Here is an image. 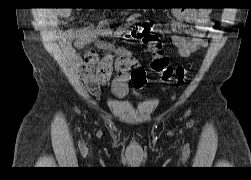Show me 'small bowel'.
<instances>
[{
  "label": "small bowel",
  "mask_w": 251,
  "mask_h": 180,
  "mask_svg": "<svg viewBox=\"0 0 251 180\" xmlns=\"http://www.w3.org/2000/svg\"><path fill=\"white\" fill-rule=\"evenodd\" d=\"M70 13L69 8L50 10L47 12L48 22L55 27L59 19L68 17ZM173 14L175 20L171 23L172 43L179 55L187 58L206 45L203 32L208 30L210 11L205 8H176ZM138 17L139 14L133 13L127 18V22H134ZM123 32L122 27L112 29L105 22H101L96 28L84 27L60 32L59 39L64 51L79 63V73L91 93L98 94L100 87L106 85L112 77L111 89L118 98L127 94L130 83L136 88L145 85L146 76L142 66L132 58L129 50L117 47L111 41L113 38L120 37ZM181 33H186L188 36H182ZM91 44L107 54L100 58L95 51H89L81 60L77 49Z\"/></svg>",
  "instance_id": "obj_1"
}]
</instances>
